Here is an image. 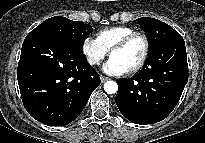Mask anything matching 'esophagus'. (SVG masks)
<instances>
[{
    "instance_id": "34e87169",
    "label": "esophagus",
    "mask_w": 205,
    "mask_h": 143,
    "mask_svg": "<svg viewBox=\"0 0 205 143\" xmlns=\"http://www.w3.org/2000/svg\"><path fill=\"white\" fill-rule=\"evenodd\" d=\"M100 80H101L102 83H104V82H106L107 80H109V78L101 75V76H100Z\"/></svg>"
}]
</instances>
